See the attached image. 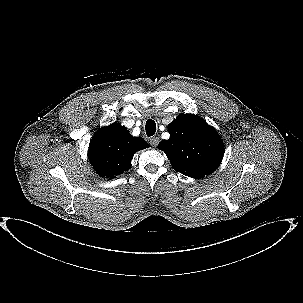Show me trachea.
Segmentation results:
<instances>
[{"instance_id": "obj_1", "label": "trachea", "mask_w": 303, "mask_h": 303, "mask_svg": "<svg viewBox=\"0 0 303 303\" xmlns=\"http://www.w3.org/2000/svg\"><path fill=\"white\" fill-rule=\"evenodd\" d=\"M145 130L148 137L153 136L156 132V123L151 119L147 120Z\"/></svg>"}]
</instances>
